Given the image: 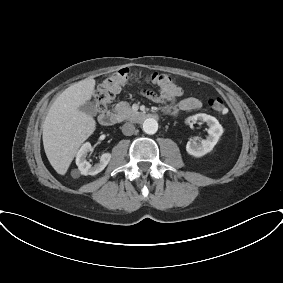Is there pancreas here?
Wrapping results in <instances>:
<instances>
[{
  "mask_svg": "<svg viewBox=\"0 0 283 283\" xmlns=\"http://www.w3.org/2000/svg\"><path fill=\"white\" fill-rule=\"evenodd\" d=\"M114 112L119 120L129 119L135 114L128 102L118 103L114 108Z\"/></svg>",
  "mask_w": 283,
  "mask_h": 283,
  "instance_id": "1",
  "label": "pancreas"
}]
</instances>
